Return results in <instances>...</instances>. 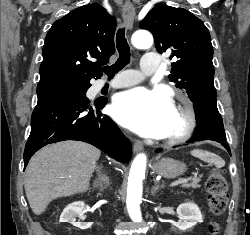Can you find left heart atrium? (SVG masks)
Instances as JSON below:
<instances>
[{"mask_svg": "<svg viewBox=\"0 0 250 235\" xmlns=\"http://www.w3.org/2000/svg\"><path fill=\"white\" fill-rule=\"evenodd\" d=\"M170 96L160 89L143 87L119 93L112 115L122 126L144 137H162L174 112Z\"/></svg>", "mask_w": 250, "mask_h": 235, "instance_id": "1", "label": "left heart atrium"}]
</instances>
